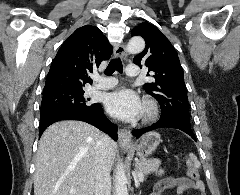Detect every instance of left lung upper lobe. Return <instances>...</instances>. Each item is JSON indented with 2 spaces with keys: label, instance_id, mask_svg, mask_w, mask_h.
<instances>
[{
  "label": "left lung upper lobe",
  "instance_id": "5c2ea615",
  "mask_svg": "<svg viewBox=\"0 0 240 195\" xmlns=\"http://www.w3.org/2000/svg\"><path fill=\"white\" fill-rule=\"evenodd\" d=\"M132 36L144 38L143 52L133 62L148 67L154 81L144 84L145 91L156 98L161 117L190 122L184 72L178 54L165 35L150 23H141L131 31ZM149 75V73L147 74Z\"/></svg>",
  "mask_w": 240,
  "mask_h": 195
}]
</instances>
